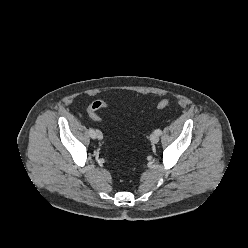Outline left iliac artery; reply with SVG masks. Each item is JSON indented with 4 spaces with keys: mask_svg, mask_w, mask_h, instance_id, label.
Here are the masks:
<instances>
[{
    "mask_svg": "<svg viewBox=\"0 0 248 248\" xmlns=\"http://www.w3.org/2000/svg\"><path fill=\"white\" fill-rule=\"evenodd\" d=\"M155 133L160 136L162 134V131L160 129H157L155 130Z\"/></svg>",
    "mask_w": 248,
    "mask_h": 248,
    "instance_id": "obj_1",
    "label": "left iliac artery"
}]
</instances>
